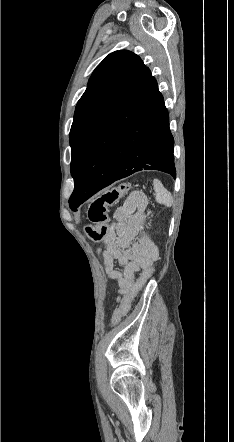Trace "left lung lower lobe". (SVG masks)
<instances>
[{"label":"left lung lower lobe","instance_id":"1","mask_svg":"<svg viewBox=\"0 0 234 442\" xmlns=\"http://www.w3.org/2000/svg\"><path fill=\"white\" fill-rule=\"evenodd\" d=\"M173 146L163 97L145 67L89 142L70 208L76 211L102 188L142 169L175 178Z\"/></svg>","mask_w":234,"mask_h":442}]
</instances>
